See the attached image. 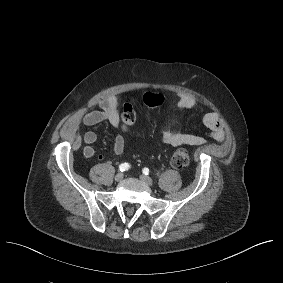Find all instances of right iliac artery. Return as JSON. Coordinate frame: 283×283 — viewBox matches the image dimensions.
<instances>
[{
    "mask_svg": "<svg viewBox=\"0 0 283 283\" xmlns=\"http://www.w3.org/2000/svg\"><path fill=\"white\" fill-rule=\"evenodd\" d=\"M130 168V165L128 164V163H122L120 166H119V169H120V171L121 172H123V171H126V170H128Z\"/></svg>",
    "mask_w": 283,
    "mask_h": 283,
    "instance_id": "obj_1",
    "label": "right iliac artery"
}]
</instances>
